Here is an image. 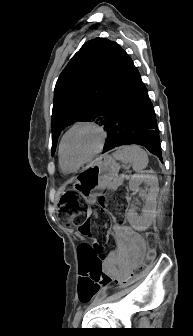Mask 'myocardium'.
<instances>
[{"instance_id": "obj_1", "label": "myocardium", "mask_w": 193, "mask_h": 336, "mask_svg": "<svg viewBox=\"0 0 193 336\" xmlns=\"http://www.w3.org/2000/svg\"><path fill=\"white\" fill-rule=\"evenodd\" d=\"M78 127H90L92 129L96 130L100 135V143H99L97 149L90 156H88L86 159H84V160H82L78 163H73L65 157L64 144H65V140H66L67 136L74 129H76ZM105 142H106V132L104 131V129L101 126H99L98 124H96L95 122H92V121H79V122L74 123L72 126H70L65 131V133L63 134V136L61 138V141H60V145H59V155H60L62 161L66 165H68L70 167L78 168L81 165H83V164L89 162L90 160H92L94 157H96L103 150Z\"/></svg>"}]
</instances>
